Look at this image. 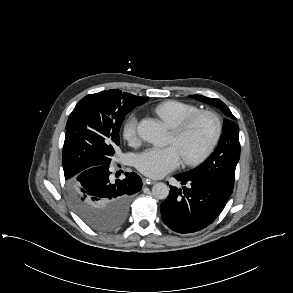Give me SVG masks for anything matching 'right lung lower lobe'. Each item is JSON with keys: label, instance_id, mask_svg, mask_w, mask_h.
Returning a JSON list of instances; mask_svg holds the SVG:
<instances>
[{"label": "right lung lower lobe", "instance_id": "98d812e1", "mask_svg": "<svg viewBox=\"0 0 293 293\" xmlns=\"http://www.w3.org/2000/svg\"><path fill=\"white\" fill-rule=\"evenodd\" d=\"M110 174L109 165L89 167L78 174L77 189L88 211L118 214L125 220L130 196L141 190L142 182L133 172H126L123 180L115 181Z\"/></svg>", "mask_w": 293, "mask_h": 293}]
</instances>
